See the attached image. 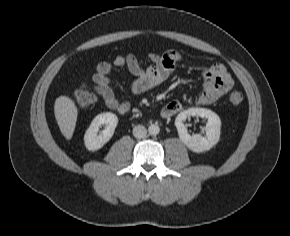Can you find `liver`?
Segmentation results:
<instances>
[{
	"label": "liver",
	"instance_id": "liver-1",
	"mask_svg": "<svg viewBox=\"0 0 290 236\" xmlns=\"http://www.w3.org/2000/svg\"><path fill=\"white\" fill-rule=\"evenodd\" d=\"M54 114L63 136L70 140L73 136L78 110L74 101L67 96H60L55 100Z\"/></svg>",
	"mask_w": 290,
	"mask_h": 236
}]
</instances>
